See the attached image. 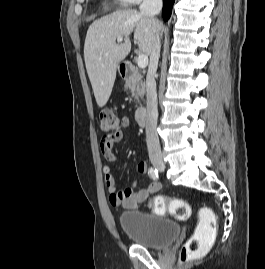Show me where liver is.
<instances>
[{
  "label": "liver",
  "mask_w": 265,
  "mask_h": 269,
  "mask_svg": "<svg viewBox=\"0 0 265 269\" xmlns=\"http://www.w3.org/2000/svg\"><path fill=\"white\" fill-rule=\"evenodd\" d=\"M158 34L162 29L156 21ZM139 52L150 55L154 41V25L135 9L116 11L94 21L86 34L84 59L87 73L99 107H103L112 92L119 63L131 50L130 35ZM123 42L116 43L118 38Z\"/></svg>",
  "instance_id": "liver-1"
}]
</instances>
